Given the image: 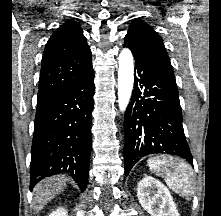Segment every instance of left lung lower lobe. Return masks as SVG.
Wrapping results in <instances>:
<instances>
[{
	"mask_svg": "<svg viewBox=\"0 0 221 216\" xmlns=\"http://www.w3.org/2000/svg\"><path fill=\"white\" fill-rule=\"evenodd\" d=\"M128 48L136 66L131 102L124 117L125 175L139 159L155 153L178 155L193 165L173 70Z\"/></svg>",
	"mask_w": 221,
	"mask_h": 216,
	"instance_id": "0a47b994",
	"label": "left lung lower lobe"
}]
</instances>
